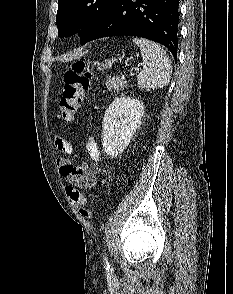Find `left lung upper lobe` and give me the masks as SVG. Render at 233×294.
Masks as SVG:
<instances>
[{
    "label": "left lung upper lobe",
    "mask_w": 233,
    "mask_h": 294,
    "mask_svg": "<svg viewBox=\"0 0 233 294\" xmlns=\"http://www.w3.org/2000/svg\"><path fill=\"white\" fill-rule=\"evenodd\" d=\"M114 0H58L56 22L58 36H69L72 30L83 28L79 33L85 44L106 15Z\"/></svg>",
    "instance_id": "obj_1"
}]
</instances>
